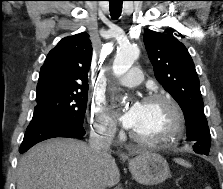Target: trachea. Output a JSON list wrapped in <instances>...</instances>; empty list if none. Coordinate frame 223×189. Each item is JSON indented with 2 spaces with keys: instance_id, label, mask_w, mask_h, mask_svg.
Returning a JSON list of instances; mask_svg holds the SVG:
<instances>
[{
  "instance_id": "trachea-1",
  "label": "trachea",
  "mask_w": 223,
  "mask_h": 189,
  "mask_svg": "<svg viewBox=\"0 0 223 189\" xmlns=\"http://www.w3.org/2000/svg\"><path fill=\"white\" fill-rule=\"evenodd\" d=\"M123 0H109L110 14L112 18L117 19L122 12Z\"/></svg>"
}]
</instances>
